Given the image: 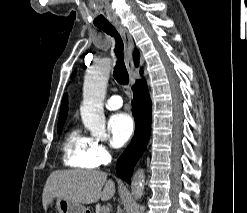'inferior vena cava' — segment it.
Wrapping results in <instances>:
<instances>
[{"label":"inferior vena cava","instance_id":"obj_1","mask_svg":"<svg viewBox=\"0 0 247 213\" xmlns=\"http://www.w3.org/2000/svg\"><path fill=\"white\" fill-rule=\"evenodd\" d=\"M117 213H121L120 207H118V212Z\"/></svg>","mask_w":247,"mask_h":213}]
</instances>
